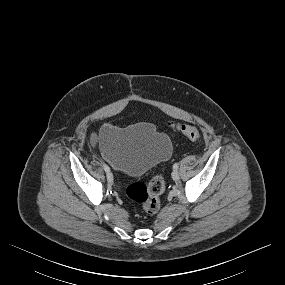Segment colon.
I'll return each mask as SVG.
<instances>
[{
    "label": "colon",
    "mask_w": 285,
    "mask_h": 285,
    "mask_svg": "<svg viewBox=\"0 0 285 285\" xmlns=\"http://www.w3.org/2000/svg\"><path fill=\"white\" fill-rule=\"evenodd\" d=\"M168 126L178 131L191 141L200 139L199 130L191 125L168 123ZM165 182L162 177L155 176L149 182H136L131 184L127 190V197L134 203L143 206L147 213L154 214L160 206V196L164 192Z\"/></svg>",
    "instance_id": "obj_1"
}]
</instances>
